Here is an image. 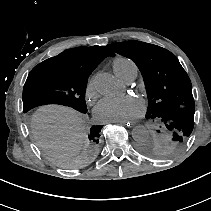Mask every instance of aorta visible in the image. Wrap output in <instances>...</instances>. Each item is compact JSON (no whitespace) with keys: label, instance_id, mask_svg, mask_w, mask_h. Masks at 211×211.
Segmentation results:
<instances>
[{"label":"aorta","instance_id":"762f6f07","mask_svg":"<svg viewBox=\"0 0 211 211\" xmlns=\"http://www.w3.org/2000/svg\"><path fill=\"white\" fill-rule=\"evenodd\" d=\"M96 90L105 96H115L122 91L119 81L108 73H100L95 77ZM132 137L136 142L146 140L149 137L148 129L143 125H138L132 130Z\"/></svg>","mask_w":211,"mask_h":211}]
</instances>
